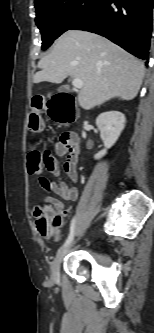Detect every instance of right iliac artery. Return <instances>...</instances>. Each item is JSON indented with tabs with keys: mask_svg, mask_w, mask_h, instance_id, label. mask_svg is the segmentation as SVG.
I'll return each instance as SVG.
<instances>
[{
	"mask_svg": "<svg viewBox=\"0 0 154 333\" xmlns=\"http://www.w3.org/2000/svg\"><path fill=\"white\" fill-rule=\"evenodd\" d=\"M74 234H75V219L73 218L71 221L69 236H68L67 240L65 241L63 247H65L71 243V241L73 240Z\"/></svg>",
	"mask_w": 154,
	"mask_h": 333,
	"instance_id": "obj_1",
	"label": "right iliac artery"
}]
</instances>
